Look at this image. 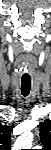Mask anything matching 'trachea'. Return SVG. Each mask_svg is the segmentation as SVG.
I'll list each match as a JSON object with an SVG mask.
<instances>
[{
  "label": "trachea",
  "instance_id": "obj_1",
  "mask_svg": "<svg viewBox=\"0 0 51 150\" xmlns=\"http://www.w3.org/2000/svg\"><path fill=\"white\" fill-rule=\"evenodd\" d=\"M31 89V79H21V93L24 97L28 96Z\"/></svg>",
  "mask_w": 51,
  "mask_h": 150
}]
</instances>
